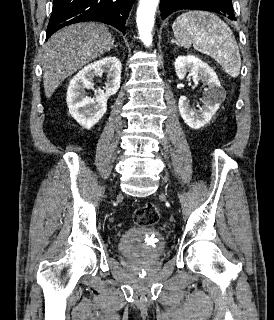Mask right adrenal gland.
Wrapping results in <instances>:
<instances>
[{
    "label": "right adrenal gland",
    "instance_id": "obj_1",
    "mask_svg": "<svg viewBox=\"0 0 274 320\" xmlns=\"http://www.w3.org/2000/svg\"><path fill=\"white\" fill-rule=\"evenodd\" d=\"M114 42H115V40H114V38H113L111 48H118V46H116V44H114Z\"/></svg>",
    "mask_w": 274,
    "mask_h": 320
}]
</instances>
